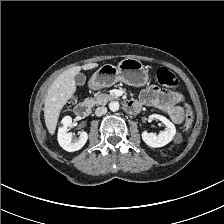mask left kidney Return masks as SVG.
Listing matches in <instances>:
<instances>
[{
    "instance_id": "left-kidney-1",
    "label": "left kidney",
    "mask_w": 224,
    "mask_h": 224,
    "mask_svg": "<svg viewBox=\"0 0 224 224\" xmlns=\"http://www.w3.org/2000/svg\"><path fill=\"white\" fill-rule=\"evenodd\" d=\"M149 118L161 121L165 125V130L160 132L158 135L144 131L142 133L143 141L152 148L163 147L171 142L176 134L174 124L166 117L158 114H152Z\"/></svg>"
}]
</instances>
